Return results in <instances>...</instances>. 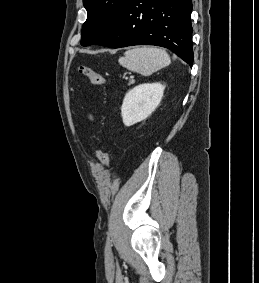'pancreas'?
<instances>
[{"label":"pancreas","mask_w":259,"mask_h":283,"mask_svg":"<svg viewBox=\"0 0 259 283\" xmlns=\"http://www.w3.org/2000/svg\"><path fill=\"white\" fill-rule=\"evenodd\" d=\"M133 83H134V80H130V81H129V85H130V84H133Z\"/></svg>","instance_id":"obj_1"}]
</instances>
